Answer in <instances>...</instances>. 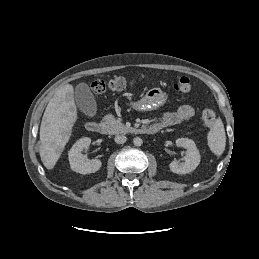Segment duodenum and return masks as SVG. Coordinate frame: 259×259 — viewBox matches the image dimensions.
Masks as SVG:
<instances>
[{"label": "duodenum", "instance_id": "1", "mask_svg": "<svg viewBox=\"0 0 259 259\" xmlns=\"http://www.w3.org/2000/svg\"><path fill=\"white\" fill-rule=\"evenodd\" d=\"M86 129L89 132L95 133V134H104L106 131L105 126L102 123L96 122V121L87 122ZM159 130H160V127L157 124H150L139 129V132L143 134H155Z\"/></svg>", "mask_w": 259, "mask_h": 259}]
</instances>
